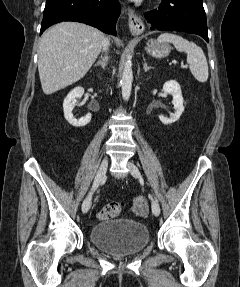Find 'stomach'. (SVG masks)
<instances>
[{"label": "stomach", "instance_id": "0dacf381", "mask_svg": "<svg viewBox=\"0 0 240 287\" xmlns=\"http://www.w3.org/2000/svg\"><path fill=\"white\" fill-rule=\"evenodd\" d=\"M171 50V46L163 43L158 42L156 40H149L147 43L146 51L149 55L156 58L166 57Z\"/></svg>", "mask_w": 240, "mask_h": 287}]
</instances>
